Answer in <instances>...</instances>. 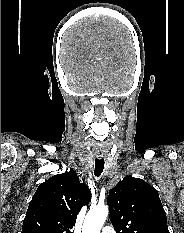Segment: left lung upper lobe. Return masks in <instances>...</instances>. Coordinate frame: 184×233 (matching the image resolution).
Here are the masks:
<instances>
[{"mask_svg": "<svg viewBox=\"0 0 184 233\" xmlns=\"http://www.w3.org/2000/svg\"><path fill=\"white\" fill-rule=\"evenodd\" d=\"M107 204L116 233H169L159 194L142 179L123 178L109 191Z\"/></svg>", "mask_w": 184, "mask_h": 233, "instance_id": "left-lung-upper-lobe-1", "label": "left lung upper lobe"}]
</instances>
